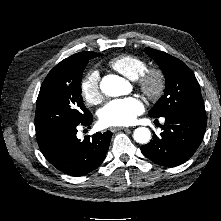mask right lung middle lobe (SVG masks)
Wrapping results in <instances>:
<instances>
[{
    "mask_svg": "<svg viewBox=\"0 0 221 221\" xmlns=\"http://www.w3.org/2000/svg\"><path fill=\"white\" fill-rule=\"evenodd\" d=\"M98 56L95 53L93 57ZM88 60L59 63L46 76L36 103V133L57 126L78 125L91 115L81 96L82 74Z\"/></svg>",
    "mask_w": 221,
    "mask_h": 221,
    "instance_id": "right-lung-middle-lobe-1",
    "label": "right lung middle lobe"
}]
</instances>
